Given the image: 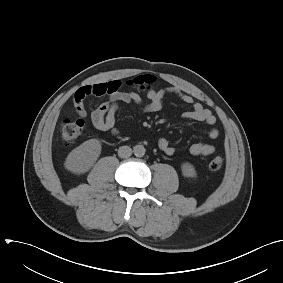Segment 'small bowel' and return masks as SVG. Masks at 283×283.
Instances as JSON below:
<instances>
[{
    "instance_id": "c3829d8e",
    "label": "small bowel",
    "mask_w": 283,
    "mask_h": 283,
    "mask_svg": "<svg viewBox=\"0 0 283 283\" xmlns=\"http://www.w3.org/2000/svg\"><path fill=\"white\" fill-rule=\"evenodd\" d=\"M108 96V100L102 102L90 115L93 126L102 132H111L118 135L119 131L115 127L116 113L120 104H135L142 108L144 112H160L164 107V99L167 95L177 96L183 103L191 108L183 114V117L190 121L203 122L208 125V138L215 140L219 132L214 127L216 124L215 115L201 103L195 101L192 96L184 93L179 88L171 86L163 89H151L147 93L148 102L143 104L141 96L133 91H121V82L112 80L79 88L74 94V109L78 117L85 118L87 112L84 108V100L88 96ZM158 147L165 154L171 156L176 152V148L165 138L158 140ZM215 147L207 142H197L191 145L190 152L195 156H208L213 154Z\"/></svg>"
}]
</instances>
